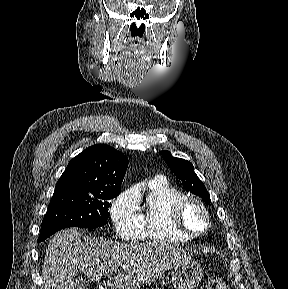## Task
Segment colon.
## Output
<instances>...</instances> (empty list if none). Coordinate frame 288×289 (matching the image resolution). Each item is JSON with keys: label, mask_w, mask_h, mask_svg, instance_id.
Masks as SVG:
<instances>
[{"label": "colon", "mask_w": 288, "mask_h": 289, "mask_svg": "<svg viewBox=\"0 0 288 289\" xmlns=\"http://www.w3.org/2000/svg\"><path fill=\"white\" fill-rule=\"evenodd\" d=\"M206 289H228V282L222 276L210 274L206 279Z\"/></svg>", "instance_id": "1"}]
</instances>
